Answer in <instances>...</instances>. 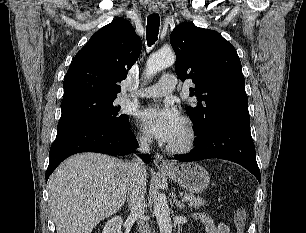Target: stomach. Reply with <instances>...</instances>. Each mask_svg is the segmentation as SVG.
Instances as JSON below:
<instances>
[{
	"instance_id": "stomach-1",
	"label": "stomach",
	"mask_w": 306,
	"mask_h": 233,
	"mask_svg": "<svg viewBox=\"0 0 306 233\" xmlns=\"http://www.w3.org/2000/svg\"><path fill=\"white\" fill-rule=\"evenodd\" d=\"M162 172L192 194L204 192L210 183L209 173L196 162L178 164Z\"/></svg>"
}]
</instances>
